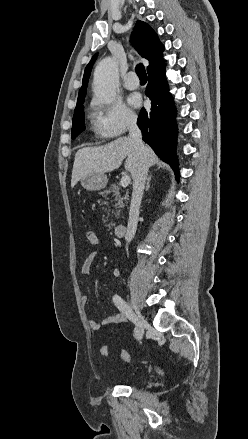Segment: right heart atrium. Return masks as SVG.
Instances as JSON below:
<instances>
[{"label":"right heart atrium","mask_w":248,"mask_h":439,"mask_svg":"<svg viewBox=\"0 0 248 439\" xmlns=\"http://www.w3.org/2000/svg\"><path fill=\"white\" fill-rule=\"evenodd\" d=\"M92 118L96 133L104 139L123 135L136 124L137 120L136 114L120 100L106 104L94 100Z\"/></svg>","instance_id":"1"}]
</instances>
